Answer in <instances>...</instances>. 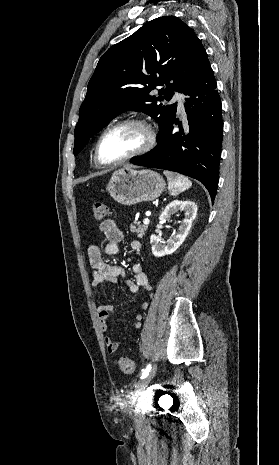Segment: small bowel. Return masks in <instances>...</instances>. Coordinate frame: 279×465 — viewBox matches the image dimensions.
<instances>
[{
    "label": "small bowel",
    "instance_id": "small-bowel-1",
    "mask_svg": "<svg viewBox=\"0 0 279 465\" xmlns=\"http://www.w3.org/2000/svg\"><path fill=\"white\" fill-rule=\"evenodd\" d=\"M100 231L106 238L104 246V253L109 256L117 255L120 252V243L123 239L122 232L118 229L113 220L107 219L100 223ZM131 250L134 254L138 255L141 252L142 244L138 240H133L130 243ZM87 253L92 269V286L95 288L111 285L118 282V279L125 276V267L123 265H111L104 262L102 257V250L96 244H89ZM134 279L127 281L128 290L131 293H138L140 289L147 291L152 290L149 283L148 276L140 263H133L131 266ZM148 302H143V308L148 307ZM114 306L111 303H104L97 309V316L100 328L103 332L108 329L107 320L112 314ZM142 326V315H136V323L134 328L140 329ZM107 352L110 354L118 350L119 342L110 336L104 337Z\"/></svg>",
    "mask_w": 279,
    "mask_h": 465
}]
</instances>
